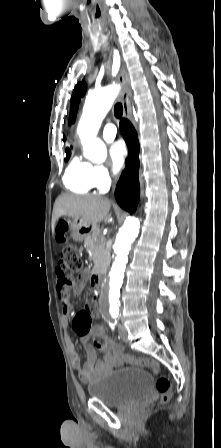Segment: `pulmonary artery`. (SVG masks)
<instances>
[{"instance_id":"e3ab8cb5","label":"pulmonary artery","mask_w":221,"mask_h":448,"mask_svg":"<svg viewBox=\"0 0 221 448\" xmlns=\"http://www.w3.org/2000/svg\"><path fill=\"white\" fill-rule=\"evenodd\" d=\"M117 129L113 124H107L102 130V136L106 141H112L116 137Z\"/></svg>"}]
</instances>
